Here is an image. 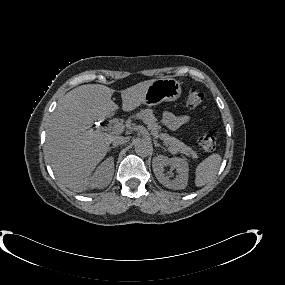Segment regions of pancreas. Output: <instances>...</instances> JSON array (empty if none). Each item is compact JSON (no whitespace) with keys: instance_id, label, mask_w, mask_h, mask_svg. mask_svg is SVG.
<instances>
[{"instance_id":"cf45deb5","label":"pancreas","mask_w":285,"mask_h":285,"mask_svg":"<svg viewBox=\"0 0 285 285\" xmlns=\"http://www.w3.org/2000/svg\"><path fill=\"white\" fill-rule=\"evenodd\" d=\"M131 118L140 119L147 123L149 129L151 130V133L154 136L159 137L165 145L169 146V148L175 152L182 153L192 158L198 157L197 152H195L191 147L185 145L183 142L179 141L175 137L170 136L167 133H160L161 126L158 124V120L154 116L151 109H142L134 114Z\"/></svg>"}]
</instances>
